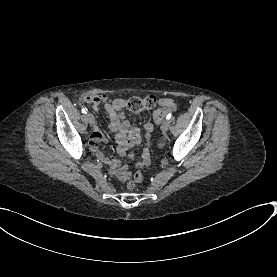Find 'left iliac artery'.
I'll return each instance as SVG.
<instances>
[{"mask_svg": "<svg viewBox=\"0 0 277 277\" xmlns=\"http://www.w3.org/2000/svg\"><path fill=\"white\" fill-rule=\"evenodd\" d=\"M171 117H172V114L169 113V114L166 116V119L169 120Z\"/></svg>", "mask_w": 277, "mask_h": 277, "instance_id": "obj_1", "label": "left iliac artery"}]
</instances>
